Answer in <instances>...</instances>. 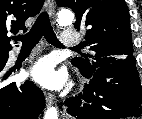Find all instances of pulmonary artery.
<instances>
[{"label": "pulmonary artery", "instance_id": "1", "mask_svg": "<svg viewBox=\"0 0 142 119\" xmlns=\"http://www.w3.org/2000/svg\"><path fill=\"white\" fill-rule=\"evenodd\" d=\"M80 41V34L73 29H64L62 32L61 37V45L68 46V45H76ZM14 56H11L10 59H13Z\"/></svg>", "mask_w": 142, "mask_h": 119}]
</instances>
